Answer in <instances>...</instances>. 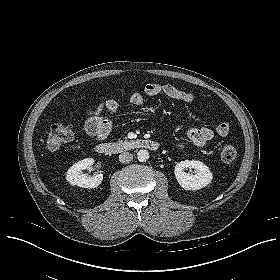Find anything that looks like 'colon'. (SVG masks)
Instances as JSON below:
<instances>
[{
  "mask_svg": "<svg viewBox=\"0 0 280 280\" xmlns=\"http://www.w3.org/2000/svg\"><path fill=\"white\" fill-rule=\"evenodd\" d=\"M89 131L98 134V129L94 125L89 126ZM72 129L63 124L56 123L50 127L47 148L49 151L54 152L59 150L65 144L70 142L73 139ZM237 156V148L233 144H225L221 149V159L224 162H233Z\"/></svg>",
  "mask_w": 280,
  "mask_h": 280,
  "instance_id": "colon-1",
  "label": "colon"
}]
</instances>
